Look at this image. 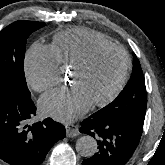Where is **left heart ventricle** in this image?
I'll use <instances>...</instances> for the list:
<instances>
[{"mask_svg": "<svg viewBox=\"0 0 165 165\" xmlns=\"http://www.w3.org/2000/svg\"><path fill=\"white\" fill-rule=\"evenodd\" d=\"M124 65L123 55L113 49L99 52L88 67L72 70L70 83L90 101L106 96L117 83Z\"/></svg>", "mask_w": 165, "mask_h": 165, "instance_id": "left-heart-ventricle-1", "label": "left heart ventricle"}]
</instances>
